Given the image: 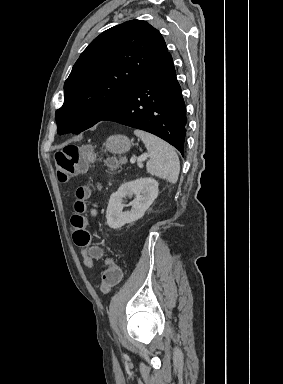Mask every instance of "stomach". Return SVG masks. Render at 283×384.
Here are the masks:
<instances>
[{"mask_svg": "<svg viewBox=\"0 0 283 384\" xmlns=\"http://www.w3.org/2000/svg\"><path fill=\"white\" fill-rule=\"evenodd\" d=\"M104 146L112 154H125L131 148V142L126 136H110L107 138Z\"/></svg>", "mask_w": 283, "mask_h": 384, "instance_id": "1", "label": "stomach"}]
</instances>
